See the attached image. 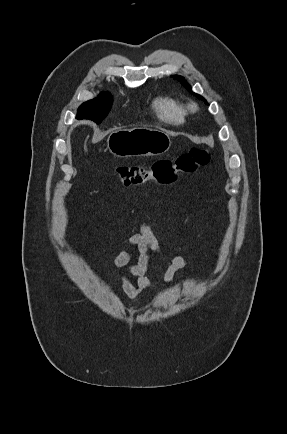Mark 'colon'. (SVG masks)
Segmentation results:
<instances>
[{
  "instance_id": "obj_1",
  "label": "colon",
  "mask_w": 287,
  "mask_h": 434,
  "mask_svg": "<svg viewBox=\"0 0 287 434\" xmlns=\"http://www.w3.org/2000/svg\"><path fill=\"white\" fill-rule=\"evenodd\" d=\"M208 162V150L197 147L179 155L174 161L158 160L149 167L143 165L119 166L116 173L121 183L127 186H140L148 182L170 185L176 182L181 175L192 174L199 167L207 165Z\"/></svg>"
}]
</instances>
